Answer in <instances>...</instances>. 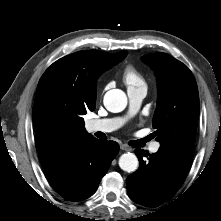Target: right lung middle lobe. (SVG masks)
<instances>
[{
    "label": "right lung middle lobe",
    "instance_id": "1",
    "mask_svg": "<svg viewBox=\"0 0 221 221\" xmlns=\"http://www.w3.org/2000/svg\"><path fill=\"white\" fill-rule=\"evenodd\" d=\"M39 84L42 87V92L37 103L38 109L51 115L65 113L66 109L59 91L61 82L58 75L54 72L48 74L45 72Z\"/></svg>",
    "mask_w": 221,
    "mask_h": 221
}]
</instances>
